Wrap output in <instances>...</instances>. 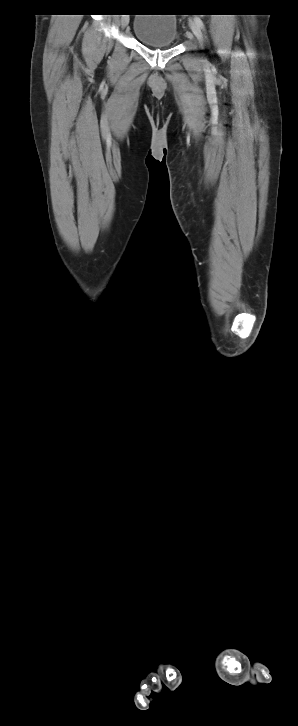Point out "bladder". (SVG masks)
Masks as SVG:
<instances>
[{
	"instance_id": "1",
	"label": "bladder",
	"mask_w": 298,
	"mask_h": 726,
	"mask_svg": "<svg viewBox=\"0 0 298 726\" xmlns=\"http://www.w3.org/2000/svg\"><path fill=\"white\" fill-rule=\"evenodd\" d=\"M133 23V35L144 45L152 48H168L178 39L177 20L173 14H137Z\"/></svg>"
}]
</instances>
